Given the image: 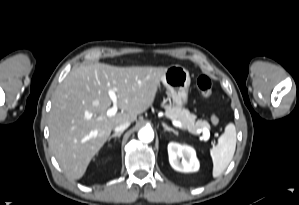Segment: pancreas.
<instances>
[{
	"instance_id": "cf45deb5",
	"label": "pancreas",
	"mask_w": 299,
	"mask_h": 205,
	"mask_svg": "<svg viewBox=\"0 0 299 205\" xmlns=\"http://www.w3.org/2000/svg\"><path fill=\"white\" fill-rule=\"evenodd\" d=\"M166 114L172 120L182 123V128L188 130L192 134H198L199 131H209L210 124L206 120H196V115L191 114L187 109L180 106H166ZM205 139V135H203Z\"/></svg>"
}]
</instances>
